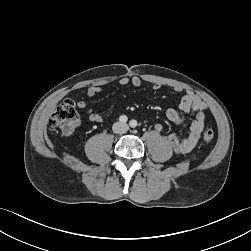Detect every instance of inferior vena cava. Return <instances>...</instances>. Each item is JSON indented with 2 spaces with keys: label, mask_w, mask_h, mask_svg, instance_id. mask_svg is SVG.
<instances>
[{
  "label": "inferior vena cava",
  "mask_w": 251,
  "mask_h": 251,
  "mask_svg": "<svg viewBox=\"0 0 251 251\" xmlns=\"http://www.w3.org/2000/svg\"><path fill=\"white\" fill-rule=\"evenodd\" d=\"M128 125L126 123L116 122L113 125V131L115 133H126L128 130Z\"/></svg>",
  "instance_id": "inferior-vena-cava-1"
}]
</instances>
